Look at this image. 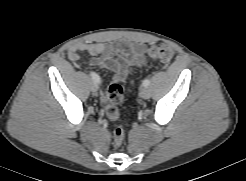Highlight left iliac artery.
I'll use <instances>...</instances> for the list:
<instances>
[{"instance_id":"obj_1","label":"left iliac artery","mask_w":246,"mask_h":181,"mask_svg":"<svg viewBox=\"0 0 246 181\" xmlns=\"http://www.w3.org/2000/svg\"><path fill=\"white\" fill-rule=\"evenodd\" d=\"M150 84V80L149 79H145L143 81V86H148Z\"/></svg>"}]
</instances>
